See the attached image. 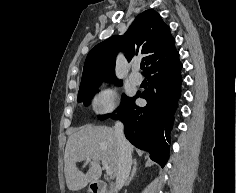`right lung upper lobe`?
<instances>
[{"instance_id": "cb5924a9", "label": "right lung upper lobe", "mask_w": 237, "mask_h": 193, "mask_svg": "<svg viewBox=\"0 0 237 193\" xmlns=\"http://www.w3.org/2000/svg\"><path fill=\"white\" fill-rule=\"evenodd\" d=\"M170 28L154 10L140 13L124 36L114 35L96 45L87 55L79 90L114 80L116 52L122 50L130 61L134 55L143 54L146 72L177 50Z\"/></svg>"}]
</instances>
